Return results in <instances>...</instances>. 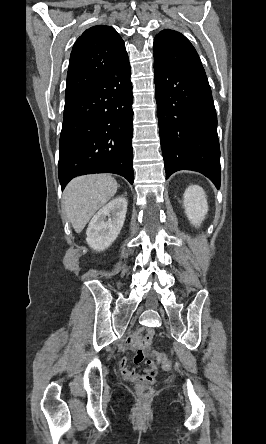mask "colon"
<instances>
[{"instance_id": "1", "label": "colon", "mask_w": 266, "mask_h": 444, "mask_svg": "<svg viewBox=\"0 0 266 444\" xmlns=\"http://www.w3.org/2000/svg\"><path fill=\"white\" fill-rule=\"evenodd\" d=\"M155 362L160 363L163 368L168 369L170 367V360L165 354L152 353L151 358L148 359L147 363ZM136 390L139 397L143 399L149 398L153 393L152 387L147 383L137 385Z\"/></svg>"}]
</instances>
